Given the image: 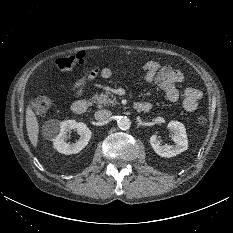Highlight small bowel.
I'll return each instance as SVG.
<instances>
[{
	"instance_id": "obj_1",
	"label": "small bowel",
	"mask_w": 233,
	"mask_h": 233,
	"mask_svg": "<svg viewBox=\"0 0 233 233\" xmlns=\"http://www.w3.org/2000/svg\"><path fill=\"white\" fill-rule=\"evenodd\" d=\"M143 69L146 82L155 83L165 93L167 100L171 102L181 100L184 109L188 112L197 110L202 98V92L193 87H188L180 92L177 89V85L184 80V75L180 70L174 69L169 65L162 66L155 60L147 61ZM112 75L113 70L107 67L85 69L83 76L71 88V93L73 96H80L86 91L88 83L97 76L109 78Z\"/></svg>"
}]
</instances>
